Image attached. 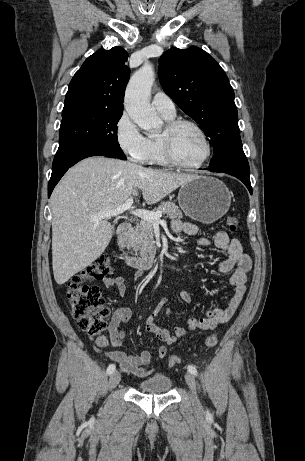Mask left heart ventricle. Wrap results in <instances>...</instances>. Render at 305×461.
<instances>
[{
  "instance_id": "1",
  "label": "left heart ventricle",
  "mask_w": 305,
  "mask_h": 461,
  "mask_svg": "<svg viewBox=\"0 0 305 461\" xmlns=\"http://www.w3.org/2000/svg\"><path fill=\"white\" fill-rule=\"evenodd\" d=\"M177 157L184 163L195 164L205 155V144L199 133L190 126L179 129L174 140Z\"/></svg>"
}]
</instances>
